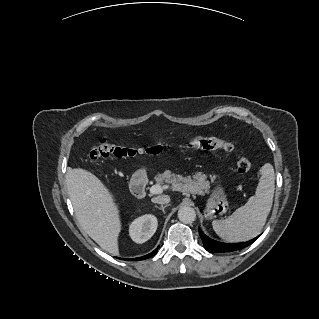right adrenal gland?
<instances>
[{"label": "right adrenal gland", "mask_w": 319, "mask_h": 319, "mask_svg": "<svg viewBox=\"0 0 319 319\" xmlns=\"http://www.w3.org/2000/svg\"><path fill=\"white\" fill-rule=\"evenodd\" d=\"M168 205H162V206H160V207H158L157 205H155V208H157V209H160V210H162L164 213H165V211H164V209L167 207Z\"/></svg>", "instance_id": "2a0ac1e0"}]
</instances>
